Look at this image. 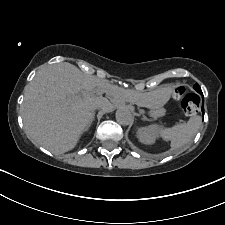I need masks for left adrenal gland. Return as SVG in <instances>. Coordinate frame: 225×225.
<instances>
[{"label": "left adrenal gland", "instance_id": "left-adrenal-gland-1", "mask_svg": "<svg viewBox=\"0 0 225 225\" xmlns=\"http://www.w3.org/2000/svg\"><path fill=\"white\" fill-rule=\"evenodd\" d=\"M142 119H143V120H147V121L149 120V119H148L146 116H144V115H143V118H142Z\"/></svg>", "mask_w": 225, "mask_h": 225}]
</instances>
